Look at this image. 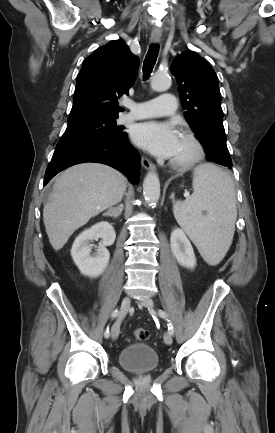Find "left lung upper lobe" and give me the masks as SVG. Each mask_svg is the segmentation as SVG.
I'll return each instance as SVG.
<instances>
[{
	"label": "left lung upper lobe",
	"mask_w": 275,
	"mask_h": 433,
	"mask_svg": "<svg viewBox=\"0 0 275 433\" xmlns=\"http://www.w3.org/2000/svg\"><path fill=\"white\" fill-rule=\"evenodd\" d=\"M186 120L204 145L209 160L232 163L226 145L218 79L210 64L193 51L178 55L170 67Z\"/></svg>",
	"instance_id": "left-lung-upper-lobe-1"
}]
</instances>
